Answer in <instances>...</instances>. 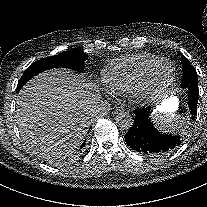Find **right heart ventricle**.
Wrapping results in <instances>:
<instances>
[{
	"mask_svg": "<svg viewBox=\"0 0 207 207\" xmlns=\"http://www.w3.org/2000/svg\"><path fill=\"white\" fill-rule=\"evenodd\" d=\"M160 57L142 53L113 62L103 70V82L108 94L128 96L141 81L144 72Z\"/></svg>",
	"mask_w": 207,
	"mask_h": 207,
	"instance_id": "e07e8e85",
	"label": "right heart ventricle"
}]
</instances>
